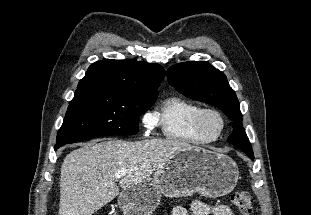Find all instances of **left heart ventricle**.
<instances>
[{
    "instance_id": "b2bd125f",
    "label": "left heart ventricle",
    "mask_w": 311,
    "mask_h": 215,
    "mask_svg": "<svg viewBox=\"0 0 311 215\" xmlns=\"http://www.w3.org/2000/svg\"><path fill=\"white\" fill-rule=\"evenodd\" d=\"M206 126L209 129L210 132L214 133L219 128V121L214 116H208L206 119Z\"/></svg>"
}]
</instances>
